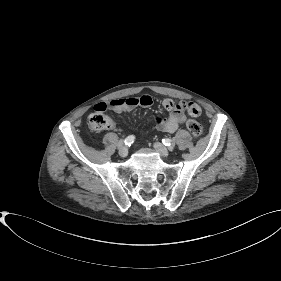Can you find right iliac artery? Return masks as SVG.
Returning <instances> with one entry per match:
<instances>
[{"mask_svg": "<svg viewBox=\"0 0 281 281\" xmlns=\"http://www.w3.org/2000/svg\"><path fill=\"white\" fill-rule=\"evenodd\" d=\"M135 140V137L133 135L128 136L125 140H124V144L130 146Z\"/></svg>", "mask_w": 281, "mask_h": 281, "instance_id": "right-iliac-artery-1", "label": "right iliac artery"}]
</instances>
